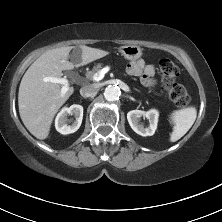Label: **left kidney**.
<instances>
[{"label":"left kidney","instance_id":"obj_1","mask_svg":"<svg viewBox=\"0 0 222 222\" xmlns=\"http://www.w3.org/2000/svg\"><path fill=\"white\" fill-rule=\"evenodd\" d=\"M141 117L149 120V126L144 127L140 124ZM159 112L156 109H151L147 112L142 110H132L127 113V120L134 132L141 136H152L155 133L158 123Z\"/></svg>","mask_w":222,"mask_h":222}]
</instances>
